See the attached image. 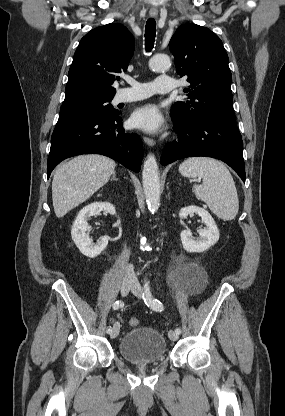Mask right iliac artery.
<instances>
[{"label":"right iliac artery","mask_w":285,"mask_h":416,"mask_svg":"<svg viewBox=\"0 0 285 416\" xmlns=\"http://www.w3.org/2000/svg\"><path fill=\"white\" fill-rule=\"evenodd\" d=\"M124 305V303L122 302V301H115L114 303H113V309L114 310H117L119 307H122ZM112 331V329H111V326H108L107 327V333H110Z\"/></svg>","instance_id":"obj_1"}]
</instances>
